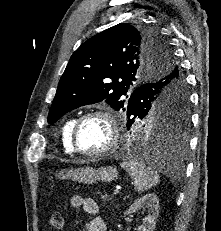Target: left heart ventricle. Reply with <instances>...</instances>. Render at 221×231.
<instances>
[{
  "label": "left heart ventricle",
  "mask_w": 221,
  "mask_h": 231,
  "mask_svg": "<svg viewBox=\"0 0 221 231\" xmlns=\"http://www.w3.org/2000/svg\"><path fill=\"white\" fill-rule=\"evenodd\" d=\"M110 128L102 117L86 119L80 126L77 136L78 146L87 152L97 151L107 145Z\"/></svg>",
  "instance_id": "b2bd125f"
}]
</instances>
